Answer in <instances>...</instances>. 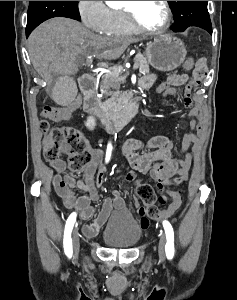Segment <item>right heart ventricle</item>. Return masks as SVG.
<instances>
[{"label":"right heart ventricle","mask_w":237,"mask_h":300,"mask_svg":"<svg viewBox=\"0 0 237 300\" xmlns=\"http://www.w3.org/2000/svg\"><path fill=\"white\" fill-rule=\"evenodd\" d=\"M113 29L112 33L115 35H133L137 31L128 21L124 11L122 9L112 10Z\"/></svg>","instance_id":"1"}]
</instances>
